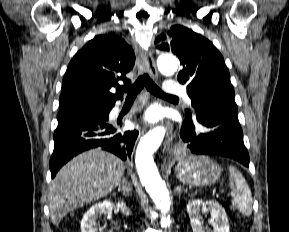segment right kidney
Listing matches in <instances>:
<instances>
[{"mask_svg": "<svg viewBox=\"0 0 289 232\" xmlns=\"http://www.w3.org/2000/svg\"><path fill=\"white\" fill-rule=\"evenodd\" d=\"M117 207L123 214L129 215V209L124 202H118L116 205L110 200H104L96 203L87 210L81 221V232H97L96 220L101 214H109Z\"/></svg>", "mask_w": 289, "mask_h": 232, "instance_id": "ca27d5eb", "label": "right kidney"}]
</instances>
